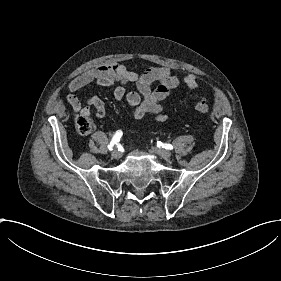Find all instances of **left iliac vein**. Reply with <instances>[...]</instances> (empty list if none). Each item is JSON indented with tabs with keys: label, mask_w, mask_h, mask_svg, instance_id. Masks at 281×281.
<instances>
[{
	"label": "left iliac vein",
	"mask_w": 281,
	"mask_h": 281,
	"mask_svg": "<svg viewBox=\"0 0 281 281\" xmlns=\"http://www.w3.org/2000/svg\"><path fill=\"white\" fill-rule=\"evenodd\" d=\"M150 151L154 154L162 156L163 158H168L170 156V151L168 149L161 150V148L155 149L154 147H151Z\"/></svg>",
	"instance_id": "left-iliac-vein-1"
}]
</instances>
